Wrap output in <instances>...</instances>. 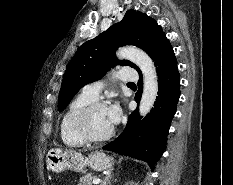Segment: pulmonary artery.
<instances>
[{
	"mask_svg": "<svg viewBox=\"0 0 233 185\" xmlns=\"http://www.w3.org/2000/svg\"><path fill=\"white\" fill-rule=\"evenodd\" d=\"M115 77L121 81L134 82L137 81L138 76L136 72L131 68H121ZM105 83L103 80L95 81L85 85L82 89V95L85 97L95 100L99 97V94L104 87Z\"/></svg>",
	"mask_w": 233,
	"mask_h": 185,
	"instance_id": "e3ab8cb5",
	"label": "pulmonary artery"
}]
</instances>
